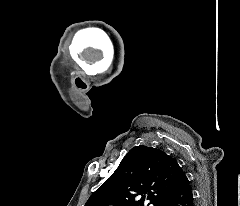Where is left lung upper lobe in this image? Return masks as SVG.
<instances>
[{"label": "left lung upper lobe", "instance_id": "1", "mask_svg": "<svg viewBox=\"0 0 240 206\" xmlns=\"http://www.w3.org/2000/svg\"><path fill=\"white\" fill-rule=\"evenodd\" d=\"M179 169L176 160L162 150L139 145L128 152L85 206H144L146 200L162 206Z\"/></svg>", "mask_w": 240, "mask_h": 206}]
</instances>
